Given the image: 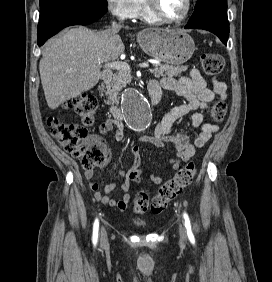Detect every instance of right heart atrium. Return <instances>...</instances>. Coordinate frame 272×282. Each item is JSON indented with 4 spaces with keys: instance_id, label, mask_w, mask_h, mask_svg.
I'll return each instance as SVG.
<instances>
[{
    "instance_id": "right-heart-atrium-1",
    "label": "right heart atrium",
    "mask_w": 272,
    "mask_h": 282,
    "mask_svg": "<svg viewBox=\"0 0 272 282\" xmlns=\"http://www.w3.org/2000/svg\"><path fill=\"white\" fill-rule=\"evenodd\" d=\"M141 0H106L108 10L119 20L134 17L140 10Z\"/></svg>"
}]
</instances>
